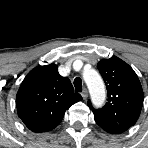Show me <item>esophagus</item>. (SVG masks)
I'll return each instance as SVG.
<instances>
[{
	"mask_svg": "<svg viewBox=\"0 0 148 148\" xmlns=\"http://www.w3.org/2000/svg\"><path fill=\"white\" fill-rule=\"evenodd\" d=\"M82 97L84 99H86L88 97V90L86 88H84L83 91H82Z\"/></svg>",
	"mask_w": 148,
	"mask_h": 148,
	"instance_id": "esophagus-1",
	"label": "esophagus"
}]
</instances>
